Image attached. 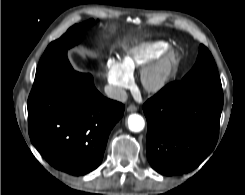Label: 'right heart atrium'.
I'll use <instances>...</instances> for the list:
<instances>
[{
  "label": "right heart atrium",
  "instance_id": "d8ad5b80",
  "mask_svg": "<svg viewBox=\"0 0 245 195\" xmlns=\"http://www.w3.org/2000/svg\"><path fill=\"white\" fill-rule=\"evenodd\" d=\"M106 77L117 97H121L124 90L132 83L131 76L113 59H109L106 63Z\"/></svg>",
  "mask_w": 245,
  "mask_h": 195
}]
</instances>
